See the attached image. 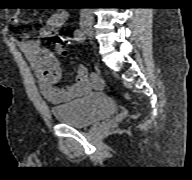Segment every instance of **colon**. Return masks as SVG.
Listing matches in <instances>:
<instances>
[{
  "instance_id": "obj_1",
  "label": "colon",
  "mask_w": 192,
  "mask_h": 180,
  "mask_svg": "<svg viewBox=\"0 0 192 180\" xmlns=\"http://www.w3.org/2000/svg\"><path fill=\"white\" fill-rule=\"evenodd\" d=\"M51 41L57 46V52L59 54H66V52L62 49V45L67 44L69 42L68 38L63 37L61 35H53Z\"/></svg>"
}]
</instances>
